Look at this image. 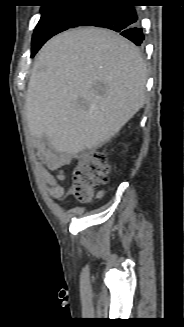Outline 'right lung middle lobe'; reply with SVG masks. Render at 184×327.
I'll use <instances>...</instances> for the list:
<instances>
[{"label": "right lung middle lobe", "instance_id": "dd1d6c3e", "mask_svg": "<svg viewBox=\"0 0 184 327\" xmlns=\"http://www.w3.org/2000/svg\"><path fill=\"white\" fill-rule=\"evenodd\" d=\"M77 0H58L62 4L45 5L41 8V18L38 22L33 38L31 57L52 36L72 27L90 7L74 4Z\"/></svg>", "mask_w": 184, "mask_h": 327}]
</instances>
